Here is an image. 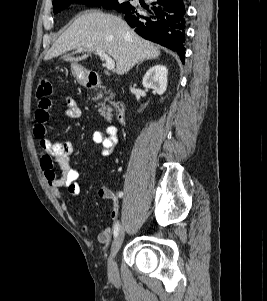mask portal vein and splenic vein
Segmentation results:
<instances>
[{"mask_svg":"<svg viewBox=\"0 0 267 301\" xmlns=\"http://www.w3.org/2000/svg\"><path fill=\"white\" fill-rule=\"evenodd\" d=\"M79 51H83V48H80ZM96 54L102 59L105 61L106 63V68L108 70H113L114 67H115V62L114 60L108 56V54H106L104 51H101V50H97L96 51Z\"/></svg>","mask_w":267,"mask_h":301,"instance_id":"1","label":"portal vein and splenic vein"}]
</instances>
